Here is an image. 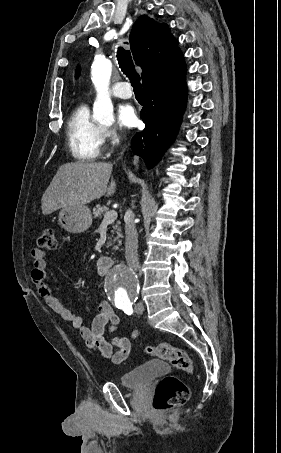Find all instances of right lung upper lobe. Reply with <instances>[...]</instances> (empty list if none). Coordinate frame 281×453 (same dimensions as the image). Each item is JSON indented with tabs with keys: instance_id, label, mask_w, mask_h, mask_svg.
Masks as SVG:
<instances>
[{
	"instance_id": "cb5924a9",
	"label": "right lung upper lobe",
	"mask_w": 281,
	"mask_h": 453,
	"mask_svg": "<svg viewBox=\"0 0 281 453\" xmlns=\"http://www.w3.org/2000/svg\"><path fill=\"white\" fill-rule=\"evenodd\" d=\"M129 40L135 63L143 69L142 79L181 52L168 25L146 15L135 22Z\"/></svg>"
}]
</instances>
